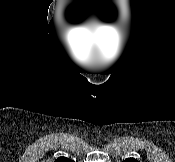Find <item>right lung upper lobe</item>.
I'll list each match as a JSON object with an SVG mask.
<instances>
[{
    "mask_svg": "<svg viewBox=\"0 0 175 162\" xmlns=\"http://www.w3.org/2000/svg\"><path fill=\"white\" fill-rule=\"evenodd\" d=\"M55 162H73V161L66 157H59L55 160Z\"/></svg>",
    "mask_w": 175,
    "mask_h": 162,
    "instance_id": "obj_1",
    "label": "right lung upper lobe"
}]
</instances>
